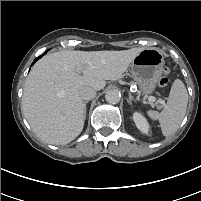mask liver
I'll list each match as a JSON object with an SVG mask.
<instances>
[{
  "label": "liver",
  "mask_w": 201,
  "mask_h": 201,
  "mask_svg": "<svg viewBox=\"0 0 201 201\" xmlns=\"http://www.w3.org/2000/svg\"><path fill=\"white\" fill-rule=\"evenodd\" d=\"M142 50L58 51L40 59L26 79L22 97V112L34 133L48 144L74 140L85 120L79 91L103 89L106 80L122 76Z\"/></svg>",
  "instance_id": "liver-1"
}]
</instances>
